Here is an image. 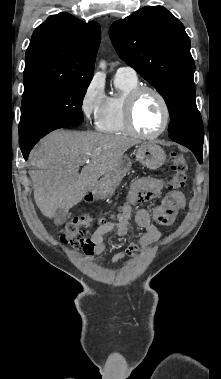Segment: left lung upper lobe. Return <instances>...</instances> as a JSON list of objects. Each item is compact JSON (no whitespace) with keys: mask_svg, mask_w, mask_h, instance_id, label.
<instances>
[{"mask_svg":"<svg viewBox=\"0 0 221 379\" xmlns=\"http://www.w3.org/2000/svg\"><path fill=\"white\" fill-rule=\"evenodd\" d=\"M110 39L119 55L165 99L169 137L199 147L203 123L195 102V63L183 24L162 6L144 7L114 22Z\"/></svg>","mask_w":221,"mask_h":379,"instance_id":"obj_1","label":"left lung upper lobe"}]
</instances>
